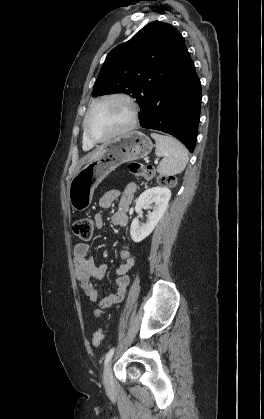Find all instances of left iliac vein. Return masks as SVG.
I'll return each instance as SVG.
<instances>
[{
	"label": "left iliac vein",
	"instance_id": "1",
	"mask_svg": "<svg viewBox=\"0 0 264 419\" xmlns=\"http://www.w3.org/2000/svg\"><path fill=\"white\" fill-rule=\"evenodd\" d=\"M103 382L107 390L112 389L113 387V374L111 369V362L107 364L104 373H103Z\"/></svg>",
	"mask_w": 264,
	"mask_h": 419
}]
</instances>
